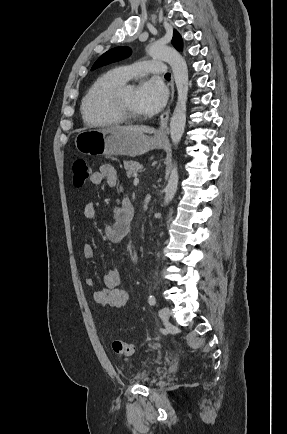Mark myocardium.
Returning <instances> with one entry per match:
<instances>
[{
    "instance_id": "obj_1",
    "label": "myocardium",
    "mask_w": 287,
    "mask_h": 434,
    "mask_svg": "<svg viewBox=\"0 0 287 434\" xmlns=\"http://www.w3.org/2000/svg\"><path fill=\"white\" fill-rule=\"evenodd\" d=\"M130 85L124 83L113 90L109 98V104L112 111L121 119L126 121H136L142 119V114L131 112L123 101V92L129 88Z\"/></svg>"
}]
</instances>
